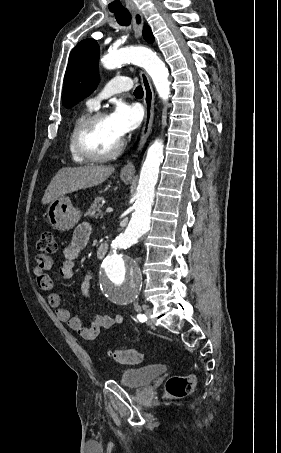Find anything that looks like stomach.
Returning a JSON list of instances; mask_svg holds the SVG:
<instances>
[{"instance_id": "stomach-1", "label": "stomach", "mask_w": 281, "mask_h": 453, "mask_svg": "<svg viewBox=\"0 0 281 453\" xmlns=\"http://www.w3.org/2000/svg\"><path fill=\"white\" fill-rule=\"evenodd\" d=\"M132 178L133 176H128V174L122 176L124 182H130ZM46 214L51 227L57 229V231H70L81 218L80 210L73 206L69 196H59V198L51 200Z\"/></svg>"}]
</instances>
